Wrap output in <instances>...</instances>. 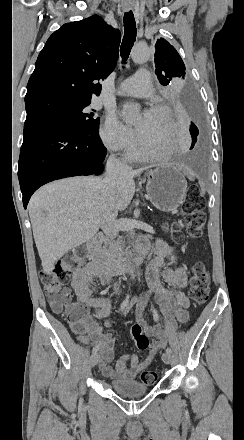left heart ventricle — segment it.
<instances>
[{
    "label": "left heart ventricle",
    "instance_id": "b2bd125f",
    "mask_svg": "<svg viewBox=\"0 0 244 440\" xmlns=\"http://www.w3.org/2000/svg\"><path fill=\"white\" fill-rule=\"evenodd\" d=\"M136 122L146 144L158 145L165 136V130L169 125V116L167 113L150 110L148 115L139 116Z\"/></svg>",
    "mask_w": 244,
    "mask_h": 440
}]
</instances>
